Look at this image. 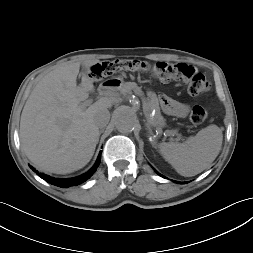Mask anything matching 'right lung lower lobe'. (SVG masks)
Here are the masks:
<instances>
[{
  "label": "right lung lower lobe",
  "mask_w": 253,
  "mask_h": 253,
  "mask_svg": "<svg viewBox=\"0 0 253 253\" xmlns=\"http://www.w3.org/2000/svg\"><path fill=\"white\" fill-rule=\"evenodd\" d=\"M100 160H101V155L98 156L97 161L95 163V165L85 174L75 177V178H67V179H60V178H54L48 175H44L42 173H39L38 171H36L34 168L33 169L34 172L37 173V175H39L41 178H43L44 180H46L47 182L62 187V188H68L70 186H77L81 183H83L84 181H86L87 179L90 178V176L96 171L97 166L100 164Z\"/></svg>",
  "instance_id": "right-lung-lower-lobe-1"
}]
</instances>
